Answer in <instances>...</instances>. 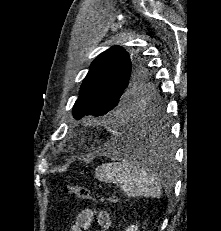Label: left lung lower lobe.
Instances as JSON below:
<instances>
[{"label":"left lung lower lobe","instance_id":"1","mask_svg":"<svg viewBox=\"0 0 221 231\" xmlns=\"http://www.w3.org/2000/svg\"><path fill=\"white\" fill-rule=\"evenodd\" d=\"M121 146L126 152L138 154L146 165H155L170 153L167 133L161 129L159 117L148 116L139 121L124 118L119 124Z\"/></svg>","mask_w":221,"mask_h":231}]
</instances>
